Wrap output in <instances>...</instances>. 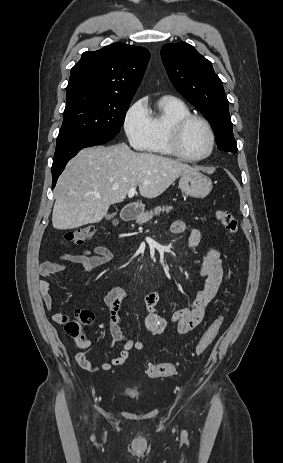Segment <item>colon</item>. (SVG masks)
I'll use <instances>...</instances> for the list:
<instances>
[{
    "label": "colon",
    "mask_w": 283,
    "mask_h": 463,
    "mask_svg": "<svg viewBox=\"0 0 283 463\" xmlns=\"http://www.w3.org/2000/svg\"><path fill=\"white\" fill-rule=\"evenodd\" d=\"M220 224L230 233L236 234L239 231L237 219L227 210H218L216 213ZM97 227L94 225L84 226L76 230L68 231L64 236V241L72 245H82L97 234ZM93 313L84 310L76 309L73 316L63 319L66 332L75 338L78 342H85L84 327L93 322ZM224 322V316L217 317L209 328L204 332L202 337L195 345L191 357H199L212 344L219 333ZM178 364L173 362H164L151 365L147 369V375L152 379H159L172 376L177 372Z\"/></svg>",
    "instance_id": "5ec220e1"
}]
</instances>
